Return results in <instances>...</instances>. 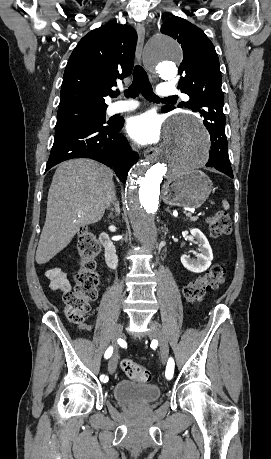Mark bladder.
Returning a JSON list of instances; mask_svg holds the SVG:
<instances>
[{"label":"bladder","instance_id":"31cf9c89","mask_svg":"<svg viewBox=\"0 0 271 459\" xmlns=\"http://www.w3.org/2000/svg\"><path fill=\"white\" fill-rule=\"evenodd\" d=\"M160 394L161 389L158 386L134 381H122L113 387V397L125 405H148L154 402Z\"/></svg>","mask_w":271,"mask_h":459}]
</instances>
